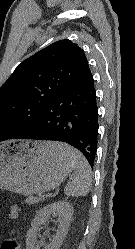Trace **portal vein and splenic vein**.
Masks as SVG:
<instances>
[{
    "mask_svg": "<svg viewBox=\"0 0 135 249\" xmlns=\"http://www.w3.org/2000/svg\"><path fill=\"white\" fill-rule=\"evenodd\" d=\"M44 196H49V194H46V195H44Z\"/></svg>",
    "mask_w": 135,
    "mask_h": 249,
    "instance_id": "obj_1",
    "label": "portal vein and splenic vein"
}]
</instances>
